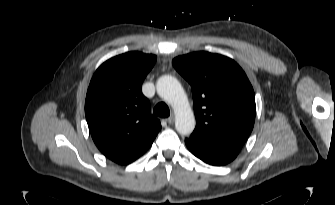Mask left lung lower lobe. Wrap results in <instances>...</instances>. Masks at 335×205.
<instances>
[{
    "label": "left lung lower lobe",
    "mask_w": 335,
    "mask_h": 205,
    "mask_svg": "<svg viewBox=\"0 0 335 205\" xmlns=\"http://www.w3.org/2000/svg\"><path fill=\"white\" fill-rule=\"evenodd\" d=\"M188 149L202 161L215 166L225 165L236 158L240 149L221 147L209 144L201 139H185Z\"/></svg>",
    "instance_id": "0a47b994"
}]
</instances>
